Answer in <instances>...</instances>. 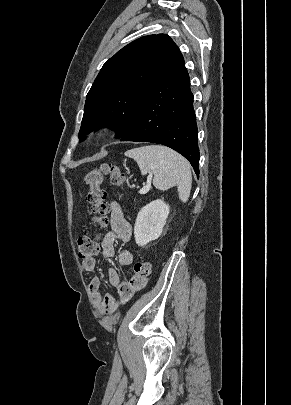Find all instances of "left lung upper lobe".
Here are the masks:
<instances>
[{"instance_id": "left-lung-upper-lobe-1", "label": "left lung upper lobe", "mask_w": 291, "mask_h": 405, "mask_svg": "<svg viewBox=\"0 0 291 405\" xmlns=\"http://www.w3.org/2000/svg\"><path fill=\"white\" fill-rule=\"evenodd\" d=\"M180 53L168 35L157 34L141 37L111 57L87 94L80 141L106 126L122 138L131 129L147 92Z\"/></svg>"}]
</instances>
